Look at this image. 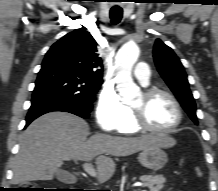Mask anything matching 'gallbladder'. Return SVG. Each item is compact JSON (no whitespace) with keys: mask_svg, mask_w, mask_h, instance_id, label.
I'll return each mask as SVG.
<instances>
[{"mask_svg":"<svg viewBox=\"0 0 218 191\" xmlns=\"http://www.w3.org/2000/svg\"><path fill=\"white\" fill-rule=\"evenodd\" d=\"M56 176L59 180H63V172L62 171H57Z\"/></svg>","mask_w":218,"mask_h":191,"instance_id":"gallbladder-1","label":"gallbladder"}]
</instances>
